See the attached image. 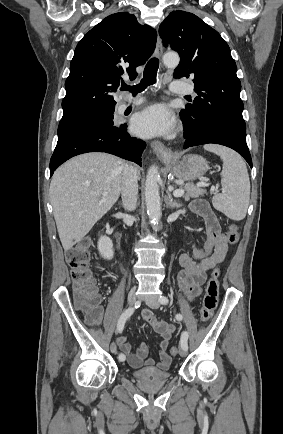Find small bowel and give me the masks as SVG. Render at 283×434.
I'll return each instance as SVG.
<instances>
[{
    "label": "small bowel",
    "mask_w": 283,
    "mask_h": 434,
    "mask_svg": "<svg viewBox=\"0 0 283 434\" xmlns=\"http://www.w3.org/2000/svg\"><path fill=\"white\" fill-rule=\"evenodd\" d=\"M190 209L203 218L205 238L202 245L193 250L192 255L186 253L180 255L181 269L177 274V282L184 296L188 300H194L202 293L208 271L224 261L228 252V242L215 213L205 200L193 201ZM142 317L161 337L158 361L155 362L154 359L148 357L149 350L145 343H140L135 351L125 337H118L116 343L122 354L127 357L131 367L156 365L161 370H167L172 361L171 356L167 353V348L174 332V326L166 321L158 320L149 309L142 312Z\"/></svg>",
    "instance_id": "obj_1"
}]
</instances>
